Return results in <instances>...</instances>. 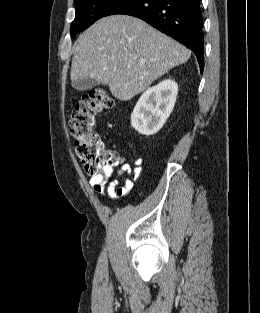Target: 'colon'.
<instances>
[{"instance_id": "colon-1", "label": "colon", "mask_w": 260, "mask_h": 313, "mask_svg": "<svg viewBox=\"0 0 260 313\" xmlns=\"http://www.w3.org/2000/svg\"><path fill=\"white\" fill-rule=\"evenodd\" d=\"M113 106L114 98L109 93L92 90L76 104L70 117L76 155L92 176L107 178L121 160L115 152L106 149L94 130L96 116Z\"/></svg>"}]
</instances>
